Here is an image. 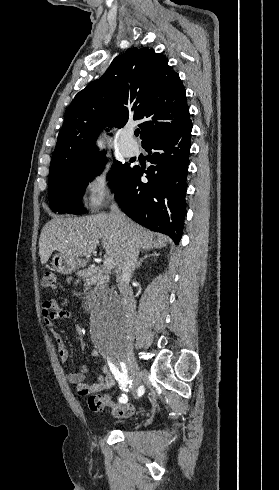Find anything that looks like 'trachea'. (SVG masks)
Returning a JSON list of instances; mask_svg holds the SVG:
<instances>
[{
	"label": "trachea",
	"instance_id": "trachea-1",
	"mask_svg": "<svg viewBox=\"0 0 279 490\" xmlns=\"http://www.w3.org/2000/svg\"><path fill=\"white\" fill-rule=\"evenodd\" d=\"M139 133H140V130L139 129L135 130V136L136 137H138Z\"/></svg>",
	"mask_w": 279,
	"mask_h": 490
}]
</instances>
